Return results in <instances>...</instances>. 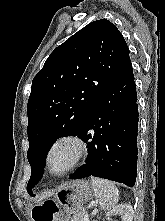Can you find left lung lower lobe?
Masks as SVG:
<instances>
[{"label":"left lung lower lobe","mask_w":165,"mask_h":221,"mask_svg":"<svg viewBox=\"0 0 165 221\" xmlns=\"http://www.w3.org/2000/svg\"><path fill=\"white\" fill-rule=\"evenodd\" d=\"M137 132L136 85L128 59L76 134L88 143V156L70 178L95 176L133 187L137 174Z\"/></svg>","instance_id":"1"}]
</instances>
